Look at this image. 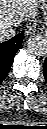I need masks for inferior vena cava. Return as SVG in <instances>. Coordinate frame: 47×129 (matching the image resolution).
Here are the masks:
<instances>
[{"mask_svg":"<svg viewBox=\"0 0 47 129\" xmlns=\"http://www.w3.org/2000/svg\"><path fill=\"white\" fill-rule=\"evenodd\" d=\"M15 31L11 26H1L0 28V40L4 41L15 36Z\"/></svg>","mask_w":47,"mask_h":129,"instance_id":"602c4592","label":"inferior vena cava"}]
</instances>
